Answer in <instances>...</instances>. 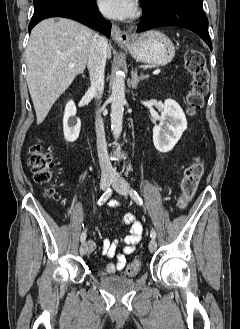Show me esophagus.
<instances>
[{"label": "esophagus", "mask_w": 240, "mask_h": 329, "mask_svg": "<svg viewBox=\"0 0 240 329\" xmlns=\"http://www.w3.org/2000/svg\"><path fill=\"white\" fill-rule=\"evenodd\" d=\"M113 40L121 47H126L130 44V36L127 32L122 31L117 25L113 24L111 29Z\"/></svg>", "instance_id": "obj_1"}]
</instances>
